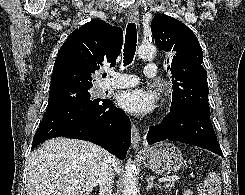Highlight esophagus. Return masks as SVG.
I'll list each match as a JSON object with an SVG mask.
<instances>
[{
    "instance_id": "obj_1",
    "label": "esophagus",
    "mask_w": 245,
    "mask_h": 195,
    "mask_svg": "<svg viewBox=\"0 0 245 195\" xmlns=\"http://www.w3.org/2000/svg\"><path fill=\"white\" fill-rule=\"evenodd\" d=\"M128 21L139 25V14L133 8H131L128 12ZM131 133H132L131 135L132 147L134 150H138L141 141V136H140L139 129L135 124H132Z\"/></svg>"
}]
</instances>
